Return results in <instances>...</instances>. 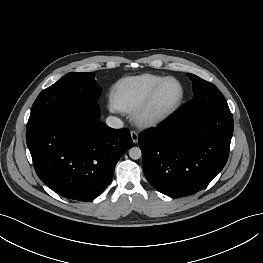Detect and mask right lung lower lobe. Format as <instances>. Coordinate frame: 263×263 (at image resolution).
<instances>
[{
    "label": "right lung lower lobe",
    "mask_w": 263,
    "mask_h": 263,
    "mask_svg": "<svg viewBox=\"0 0 263 263\" xmlns=\"http://www.w3.org/2000/svg\"><path fill=\"white\" fill-rule=\"evenodd\" d=\"M97 102L76 113L60 111L26 131L39 178L59 195L79 201L99 196L111 182L120 157L132 147L128 129L99 120Z\"/></svg>",
    "instance_id": "obj_1"
}]
</instances>
